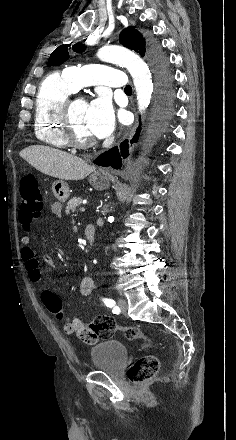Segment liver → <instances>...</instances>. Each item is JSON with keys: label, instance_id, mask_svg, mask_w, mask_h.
I'll return each mask as SVG.
<instances>
[{"label": "liver", "instance_id": "liver-1", "mask_svg": "<svg viewBox=\"0 0 236 440\" xmlns=\"http://www.w3.org/2000/svg\"><path fill=\"white\" fill-rule=\"evenodd\" d=\"M20 156L38 171L61 180H82L95 170L79 157L42 145L25 148Z\"/></svg>", "mask_w": 236, "mask_h": 440}]
</instances>
